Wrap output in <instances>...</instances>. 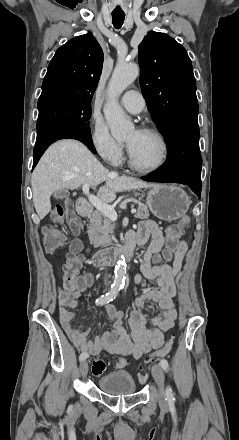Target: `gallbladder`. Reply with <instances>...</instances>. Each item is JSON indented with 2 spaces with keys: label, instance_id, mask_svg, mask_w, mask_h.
I'll return each instance as SVG.
<instances>
[{
  "label": "gallbladder",
  "instance_id": "gallbladder-1",
  "mask_svg": "<svg viewBox=\"0 0 239 440\" xmlns=\"http://www.w3.org/2000/svg\"><path fill=\"white\" fill-rule=\"evenodd\" d=\"M69 192L67 190H56L54 192V198H68Z\"/></svg>",
  "mask_w": 239,
  "mask_h": 440
}]
</instances>
